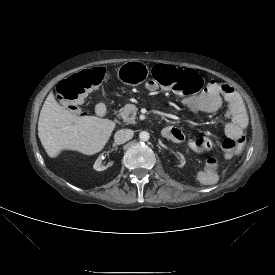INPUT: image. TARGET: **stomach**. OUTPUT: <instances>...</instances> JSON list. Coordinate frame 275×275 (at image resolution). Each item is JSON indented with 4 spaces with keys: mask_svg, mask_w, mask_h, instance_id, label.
Listing matches in <instances>:
<instances>
[{
    "mask_svg": "<svg viewBox=\"0 0 275 275\" xmlns=\"http://www.w3.org/2000/svg\"><path fill=\"white\" fill-rule=\"evenodd\" d=\"M149 75L148 67L136 60H131L122 64L117 70V78L126 85H139L143 83Z\"/></svg>",
    "mask_w": 275,
    "mask_h": 275,
    "instance_id": "stomach-1",
    "label": "stomach"
}]
</instances>
